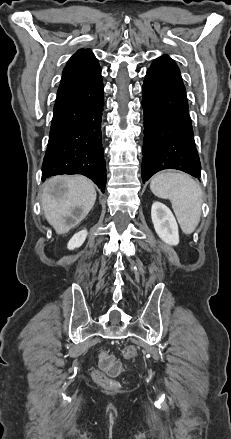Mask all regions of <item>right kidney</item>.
<instances>
[{
    "mask_svg": "<svg viewBox=\"0 0 231 439\" xmlns=\"http://www.w3.org/2000/svg\"><path fill=\"white\" fill-rule=\"evenodd\" d=\"M87 230H81L76 233L68 242L67 248L69 250H74L75 248H79L85 241L87 237Z\"/></svg>",
    "mask_w": 231,
    "mask_h": 439,
    "instance_id": "ca27d5eb",
    "label": "right kidney"
}]
</instances>
